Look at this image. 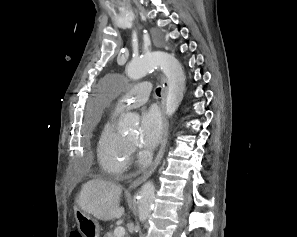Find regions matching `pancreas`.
Returning <instances> with one entry per match:
<instances>
[{
    "label": "pancreas",
    "instance_id": "pancreas-1",
    "mask_svg": "<svg viewBox=\"0 0 297 237\" xmlns=\"http://www.w3.org/2000/svg\"><path fill=\"white\" fill-rule=\"evenodd\" d=\"M104 237H115V236H114V233L107 232Z\"/></svg>",
    "mask_w": 297,
    "mask_h": 237
}]
</instances>
